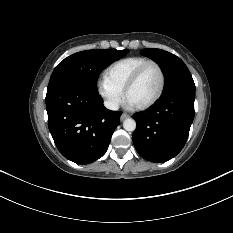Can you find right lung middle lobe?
<instances>
[{
	"label": "right lung middle lobe",
	"instance_id": "1",
	"mask_svg": "<svg viewBox=\"0 0 233 233\" xmlns=\"http://www.w3.org/2000/svg\"><path fill=\"white\" fill-rule=\"evenodd\" d=\"M128 52L127 49H95L75 53L57 65L51 75L48 87L66 83L98 92L97 79L101 71Z\"/></svg>",
	"mask_w": 233,
	"mask_h": 233
}]
</instances>
